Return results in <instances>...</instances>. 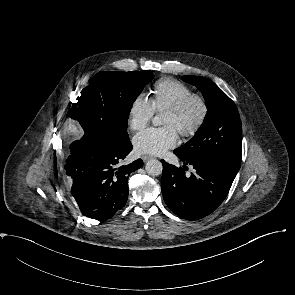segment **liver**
<instances>
[{"mask_svg":"<svg viewBox=\"0 0 295 295\" xmlns=\"http://www.w3.org/2000/svg\"><path fill=\"white\" fill-rule=\"evenodd\" d=\"M67 129H68L69 132H71L74 135H80L81 134V130L73 122H69L67 124Z\"/></svg>","mask_w":295,"mask_h":295,"instance_id":"6515ba94","label":"liver"}]
</instances>
